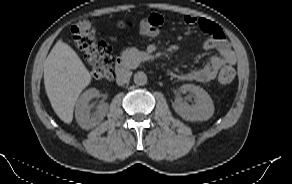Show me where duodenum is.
Instances as JSON below:
<instances>
[{
    "instance_id": "1",
    "label": "duodenum",
    "mask_w": 292,
    "mask_h": 184,
    "mask_svg": "<svg viewBox=\"0 0 292 184\" xmlns=\"http://www.w3.org/2000/svg\"><path fill=\"white\" fill-rule=\"evenodd\" d=\"M115 69L119 78L124 77L125 75V63L122 58L117 57L115 62Z\"/></svg>"
}]
</instances>
